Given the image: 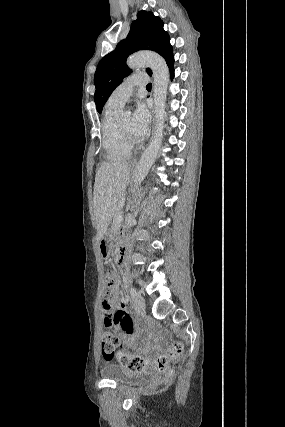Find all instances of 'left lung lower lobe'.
Wrapping results in <instances>:
<instances>
[{"label": "left lung lower lobe", "mask_w": 285, "mask_h": 427, "mask_svg": "<svg viewBox=\"0 0 285 427\" xmlns=\"http://www.w3.org/2000/svg\"><path fill=\"white\" fill-rule=\"evenodd\" d=\"M173 63H174V57H173L171 60H169V61L167 62L168 66H169V69H170V75H171V78H173V77H174V68H173Z\"/></svg>", "instance_id": "left-lung-lower-lobe-1"}]
</instances>
